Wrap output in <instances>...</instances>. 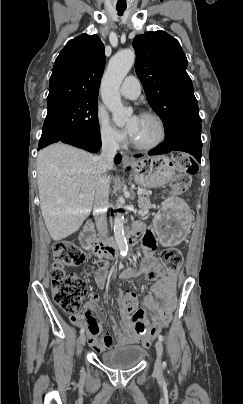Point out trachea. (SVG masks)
Masks as SVG:
<instances>
[{"label": "trachea", "instance_id": "trachea-1", "mask_svg": "<svg viewBox=\"0 0 243 404\" xmlns=\"http://www.w3.org/2000/svg\"><path fill=\"white\" fill-rule=\"evenodd\" d=\"M126 6L125 7H116V9H117V12H118V15H122L123 14V12L126 10Z\"/></svg>", "mask_w": 243, "mask_h": 404}]
</instances>
